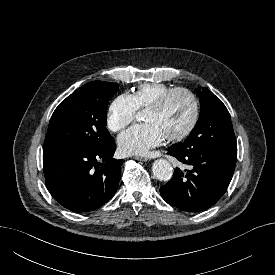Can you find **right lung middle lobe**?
<instances>
[{"label": "right lung middle lobe", "instance_id": "obj_1", "mask_svg": "<svg viewBox=\"0 0 275 275\" xmlns=\"http://www.w3.org/2000/svg\"><path fill=\"white\" fill-rule=\"evenodd\" d=\"M118 84L89 82L74 91L55 109L44 148L100 149L113 138L106 126L107 107Z\"/></svg>", "mask_w": 275, "mask_h": 275}]
</instances>
